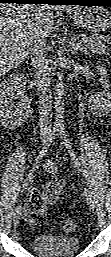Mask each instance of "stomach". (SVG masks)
Returning a JSON list of instances; mask_svg holds the SVG:
<instances>
[{"instance_id":"1","label":"stomach","mask_w":111,"mask_h":257,"mask_svg":"<svg viewBox=\"0 0 111 257\" xmlns=\"http://www.w3.org/2000/svg\"><path fill=\"white\" fill-rule=\"evenodd\" d=\"M69 15L76 24L94 33L111 26V13L105 7H74Z\"/></svg>"}]
</instances>
